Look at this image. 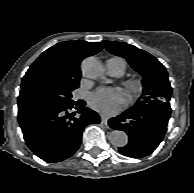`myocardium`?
<instances>
[{"instance_id": "myocardium-1", "label": "myocardium", "mask_w": 194, "mask_h": 193, "mask_svg": "<svg viewBox=\"0 0 194 193\" xmlns=\"http://www.w3.org/2000/svg\"><path fill=\"white\" fill-rule=\"evenodd\" d=\"M126 89L130 100L136 99L143 90V83L141 80H130L126 83Z\"/></svg>"}]
</instances>
